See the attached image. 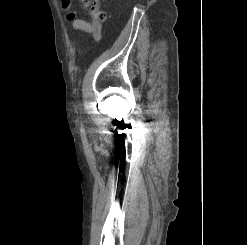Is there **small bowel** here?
Listing matches in <instances>:
<instances>
[{
	"label": "small bowel",
	"mask_w": 247,
	"mask_h": 245,
	"mask_svg": "<svg viewBox=\"0 0 247 245\" xmlns=\"http://www.w3.org/2000/svg\"><path fill=\"white\" fill-rule=\"evenodd\" d=\"M67 20L71 21L72 28L75 31H83L91 35L96 41L101 38V23L98 21L87 22L76 17L75 12L71 9V0H62Z\"/></svg>",
	"instance_id": "c3829d8e"
}]
</instances>
